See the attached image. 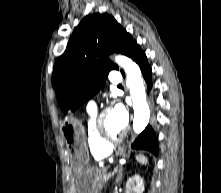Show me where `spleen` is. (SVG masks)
I'll return each instance as SVG.
<instances>
[{
	"label": "spleen",
	"instance_id": "obj_1",
	"mask_svg": "<svg viewBox=\"0 0 221 193\" xmlns=\"http://www.w3.org/2000/svg\"><path fill=\"white\" fill-rule=\"evenodd\" d=\"M136 159H137L140 163H142V164H147V163H148V159H147L145 156H143V155H137V156H136Z\"/></svg>",
	"mask_w": 221,
	"mask_h": 193
}]
</instances>
